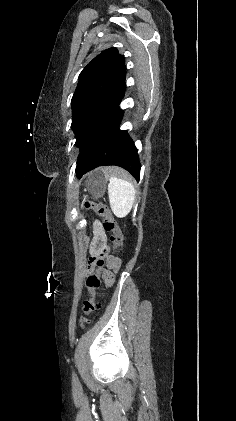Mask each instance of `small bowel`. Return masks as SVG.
<instances>
[{"label": "small bowel", "instance_id": "obj_1", "mask_svg": "<svg viewBox=\"0 0 236 421\" xmlns=\"http://www.w3.org/2000/svg\"><path fill=\"white\" fill-rule=\"evenodd\" d=\"M93 233L94 240L90 249V254L92 256L98 255L107 250L106 234L102 224L98 220H95L93 223Z\"/></svg>", "mask_w": 236, "mask_h": 421}]
</instances>
